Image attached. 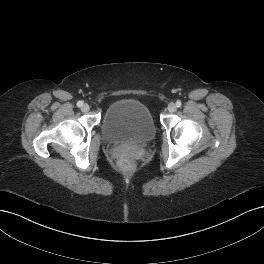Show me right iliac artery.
Segmentation results:
<instances>
[{
    "instance_id": "1",
    "label": "right iliac artery",
    "mask_w": 264,
    "mask_h": 264,
    "mask_svg": "<svg viewBox=\"0 0 264 264\" xmlns=\"http://www.w3.org/2000/svg\"><path fill=\"white\" fill-rule=\"evenodd\" d=\"M82 105H83V102H82V101H78V102H77V106H78V107H82Z\"/></svg>"
}]
</instances>
